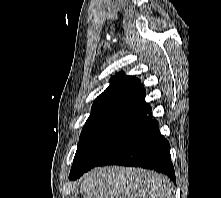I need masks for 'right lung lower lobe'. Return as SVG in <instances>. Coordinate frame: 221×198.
Returning a JSON list of instances; mask_svg holds the SVG:
<instances>
[{"mask_svg": "<svg viewBox=\"0 0 221 198\" xmlns=\"http://www.w3.org/2000/svg\"><path fill=\"white\" fill-rule=\"evenodd\" d=\"M101 165H124L152 169L168 175L175 182L169 143L160 134L158 122L152 118L143 123L129 140L105 157L98 164V166Z\"/></svg>", "mask_w": 221, "mask_h": 198, "instance_id": "obj_1", "label": "right lung lower lobe"}]
</instances>
